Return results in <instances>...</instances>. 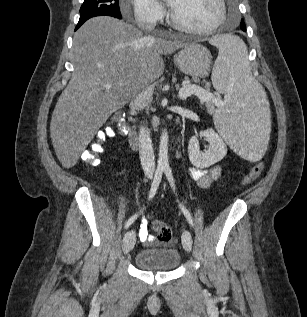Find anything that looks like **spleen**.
Wrapping results in <instances>:
<instances>
[{"label": "spleen", "mask_w": 307, "mask_h": 317, "mask_svg": "<svg viewBox=\"0 0 307 317\" xmlns=\"http://www.w3.org/2000/svg\"><path fill=\"white\" fill-rule=\"evenodd\" d=\"M207 44L219 50L211 77L227 105L214 116L215 126L241 160H262L271 139L269 101L250 72L247 48L233 33H210Z\"/></svg>", "instance_id": "3e777b00"}]
</instances>
